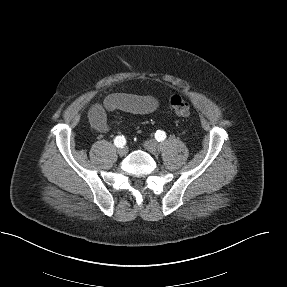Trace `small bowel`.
<instances>
[{
	"label": "small bowel",
	"mask_w": 287,
	"mask_h": 287,
	"mask_svg": "<svg viewBox=\"0 0 287 287\" xmlns=\"http://www.w3.org/2000/svg\"><path fill=\"white\" fill-rule=\"evenodd\" d=\"M158 106V100L150 95L114 93L109 95L103 103L92 105L88 118L92 128L102 134L109 130L107 113L123 111L144 115L154 112Z\"/></svg>",
	"instance_id": "obj_1"
}]
</instances>
